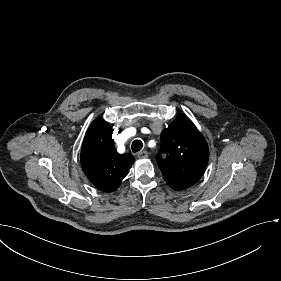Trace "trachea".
Here are the masks:
<instances>
[{
	"label": "trachea",
	"instance_id": "trachea-1",
	"mask_svg": "<svg viewBox=\"0 0 281 281\" xmlns=\"http://www.w3.org/2000/svg\"><path fill=\"white\" fill-rule=\"evenodd\" d=\"M142 147H143V143L140 140H134L131 145V149L133 153H137L142 149Z\"/></svg>",
	"mask_w": 281,
	"mask_h": 281
}]
</instances>
